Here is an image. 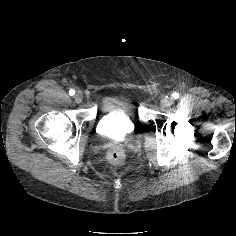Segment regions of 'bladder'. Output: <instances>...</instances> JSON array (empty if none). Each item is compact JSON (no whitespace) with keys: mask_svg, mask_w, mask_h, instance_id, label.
<instances>
[{"mask_svg":"<svg viewBox=\"0 0 236 236\" xmlns=\"http://www.w3.org/2000/svg\"><path fill=\"white\" fill-rule=\"evenodd\" d=\"M137 128V121L130 105L120 102L105 113L97 124V130L105 136H128Z\"/></svg>","mask_w":236,"mask_h":236,"instance_id":"31cf9c89","label":"bladder"}]
</instances>
